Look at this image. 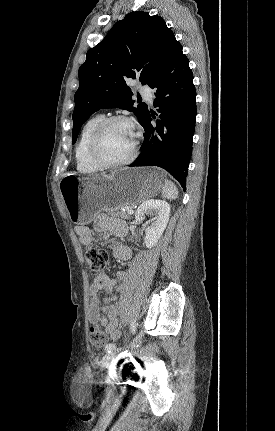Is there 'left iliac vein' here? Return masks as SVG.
<instances>
[{
	"label": "left iliac vein",
	"mask_w": 275,
	"mask_h": 431,
	"mask_svg": "<svg viewBox=\"0 0 275 431\" xmlns=\"http://www.w3.org/2000/svg\"><path fill=\"white\" fill-rule=\"evenodd\" d=\"M142 334H143V332L141 331L140 334L138 335V337L136 338L135 342L130 344L128 347H126V349L127 350H133L136 347L137 343L140 342V338H141ZM117 353H118V351L116 349L111 351L110 353H106L100 361V368L105 369V368L109 367L111 365V363L114 361Z\"/></svg>",
	"instance_id": "4c4485c4"
}]
</instances>
